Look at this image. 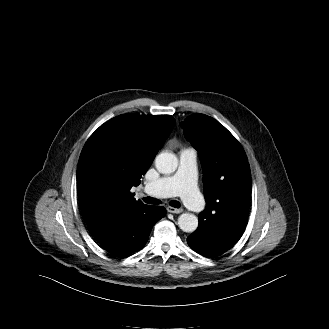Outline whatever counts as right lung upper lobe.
I'll return each mask as SVG.
<instances>
[{"label": "right lung upper lobe", "mask_w": 329, "mask_h": 329, "mask_svg": "<svg viewBox=\"0 0 329 329\" xmlns=\"http://www.w3.org/2000/svg\"><path fill=\"white\" fill-rule=\"evenodd\" d=\"M175 124L170 115L123 114L87 140L77 167V193L86 223L102 213L144 206L138 186Z\"/></svg>", "instance_id": "obj_1"}]
</instances>
